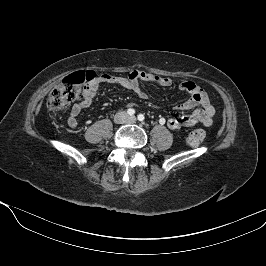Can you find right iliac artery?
Wrapping results in <instances>:
<instances>
[{"label":"right iliac artery","mask_w":266,"mask_h":266,"mask_svg":"<svg viewBox=\"0 0 266 266\" xmlns=\"http://www.w3.org/2000/svg\"><path fill=\"white\" fill-rule=\"evenodd\" d=\"M127 114L130 115V116H132V115L135 114V110L132 109V108H130V109L127 110Z\"/></svg>","instance_id":"82829eb1"}]
</instances>
